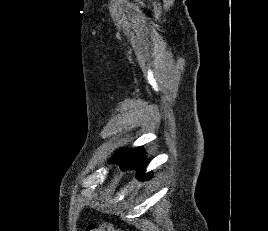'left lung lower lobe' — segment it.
<instances>
[{"instance_id":"0a47b994","label":"left lung lower lobe","mask_w":268,"mask_h":231,"mask_svg":"<svg viewBox=\"0 0 268 231\" xmlns=\"http://www.w3.org/2000/svg\"><path fill=\"white\" fill-rule=\"evenodd\" d=\"M109 162H117L123 171L135 169L137 178L142 181L151 176V173H145V154L142 148L127 153H123L121 150Z\"/></svg>"}]
</instances>
